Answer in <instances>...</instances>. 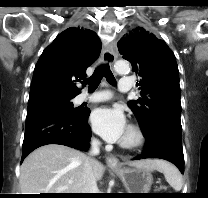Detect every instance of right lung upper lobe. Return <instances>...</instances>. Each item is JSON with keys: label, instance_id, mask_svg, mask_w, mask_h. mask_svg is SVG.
Here are the masks:
<instances>
[{"label": "right lung upper lobe", "instance_id": "cb5924a9", "mask_svg": "<svg viewBox=\"0 0 208 198\" xmlns=\"http://www.w3.org/2000/svg\"><path fill=\"white\" fill-rule=\"evenodd\" d=\"M100 51L101 42L90 29L70 27L60 33L36 64L28 107L77 96L80 89L73 82L86 77Z\"/></svg>", "mask_w": 208, "mask_h": 198}]
</instances>
